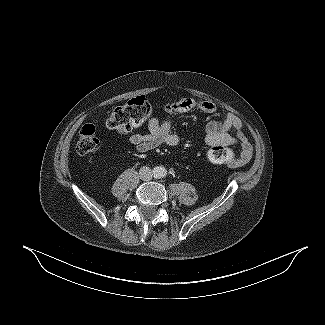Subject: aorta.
Wrapping results in <instances>:
<instances>
[{"label":"aorta","mask_w":325,"mask_h":325,"mask_svg":"<svg viewBox=\"0 0 325 325\" xmlns=\"http://www.w3.org/2000/svg\"><path fill=\"white\" fill-rule=\"evenodd\" d=\"M153 172L156 178H163L167 174V170L163 166L155 167Z\"/></svg>","instance_id":"obj_1"}]
</instances>
